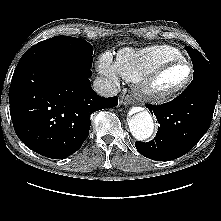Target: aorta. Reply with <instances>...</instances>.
Returning a JSON list of instances; mask_svg holds the SVG:
<instances>
[{
  "label": "aorta",
  "mask_w": 221,
  "mask_h": 221,
  "mask_svg": "<svg viewBox=\"0 0 221 221\" xmlns=\"http://www.w3.org/2000/svg\"><path fill=\"white\" fill-rule=\"evenodd\" d=\"M128 126L133 137L140 141L150 138L154 130L152 116L146 110L129 117Z\"/></svg>",
  "instance_id": "1"
}]
</instances>
